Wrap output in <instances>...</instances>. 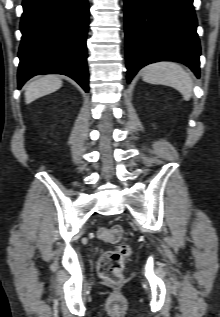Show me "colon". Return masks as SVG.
Masks as SVG:
<instances>
[{"label":"colon","instance_id":"obj_1","mask_svg":"<svg viewBox=\"0 0 220 317\" xmlns=\"http://www.w3.org/2000/svg\"><path fill=\"white\" fill-rule=\"evenodd\" d=\"M99 238L104 242L117 244V247L101 255L98 274L103 280L118 284L123 280L124 264L131 254L130 247L125 243V232L118 225L103 227L99 231Z\"/></svg>","mask_w":220,"mask_h":317}]
</instances>
